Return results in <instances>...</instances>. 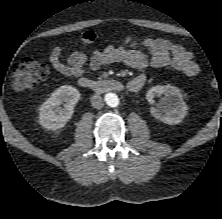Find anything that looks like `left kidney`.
Masks as SVG:
<instances>
[{"label": "left kidney", "instance_id": "obj_1", "mask_svg": "<svg viewBox=\"0 0 222 219\" xmlns=\"http://www.w3.org/2000/svg\"><path fill=\"white\" fill-rule=\"evenodd\" d=\"M162 95L164 97L160 103L156 107H151V115L165 124L180 123L187 113V105L183 101L180 89L170 84L154 86L147 91L146 98L150 103H154V98Z\"/></svg>", "mask_w": 222, "mask_h": 219}]
</instances>
